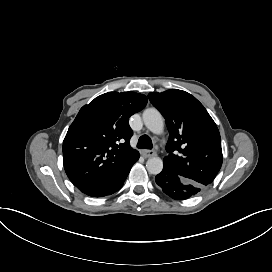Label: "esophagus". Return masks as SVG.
I'll return each instance as SVG.
<instances>
[{"label": "esophagus", "mask_w": 272, "mask_h": 272, "mask_svg": "<svg viewBox=\"0 0 272 272\" xmlns=\"http://www.w3.org/2000/svg\"><path fill=\"white\" fill-rule=\"evenodd\" d=\"M141 154L148 158V157H151V156H155L156 155V152L154 150H142L141 151Z\"/></svg>", "instance_id": "esophagus-1"}]
</instances>
